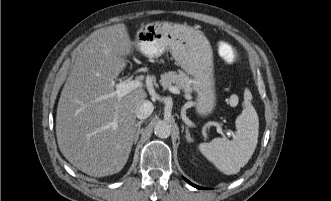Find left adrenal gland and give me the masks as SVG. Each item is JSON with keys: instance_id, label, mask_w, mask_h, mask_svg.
Masks as SVG:
<instances>
[{"instance_id": "left-adrenal-gland-1", "label": "left adrenal gland", "mask_w": 331, "mask_h": 201, "mask_svg": "<svg viewBox=\"0 0 331 201\" xmlns=\"http://www.w3.org/2000/svg\"><path fill=\"white\" fill-rule=\"evenodd\" d=\"M185 132H186V139H187V141H188V142H193V139L191 138V136H190V132H189V130H188L187 127H186Z\"/></svg>"}]
</instances>
